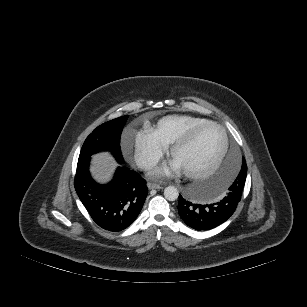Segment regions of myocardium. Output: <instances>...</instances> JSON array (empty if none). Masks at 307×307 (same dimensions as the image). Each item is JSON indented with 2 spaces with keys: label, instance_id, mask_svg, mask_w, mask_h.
<instances>
[{
  "label": "myocardium",
  "instance_id": "f54148a6",
  "mask_svg": "<svg viewBox=\"0 0 307 307\" xmlns=\"http://www.w3.org/2000/svg\"><path fill=\"white\" fill-rule=\"evenodd\" d=\"M208 126L217 127L220 130L222 138H223L222 147L217 157L215 158V160L209 167L203 170H199V171H184L185 176H187L188 178L201 179V178L208 177L219 167L229 147V136H228L226 129L220 123L215 122V121L204 122L202 124L192 127L182 137L176 140L170 148V156L173 158V156L175 155L177 151L187 146L202 129Z\"/></svg>",
  "mask_w": 307,
  "mask_h": 307
}]
</instances>
